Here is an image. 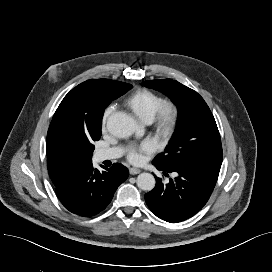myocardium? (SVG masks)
Instances as JSON below:
<instances>
[{"label":"myocardium","instance_id":"f54148a6","mask_svg":"<svg viewBox=\"0 0 272 272\" xmlns=\"http://www.w3.org/2000/svg\"><path fill=\"white\" fill-rule=\"evenodd\" d=\"M178 120V106L172 101H163L152 121L158 133L167 135L175 129Z\"/></svg>","mask_w":272,"mask_h":272}]
</instances>
